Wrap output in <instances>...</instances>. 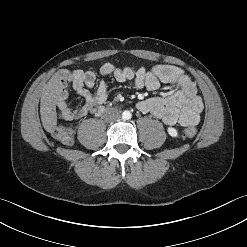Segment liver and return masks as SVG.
I'll use <instances>...</instances> for the list:
<instances>
[{
  "label": "liver",
  "mask_w": 247,
  "mask_h": 247,
  "mask_svg": "<svg viewBox=\"0 0 247 247\" xmlns=\"http://www.w3.org/2000/svg\"><path fill=\"white\" fill-rule=\"evenodd\" d=\"M60 93V82L57 76H52L43 88L40 100V115L44 129L52 133L57 124L56 102Z\"/></svg>",
  "instance_id": "6515ba94"
}]
</instances>
